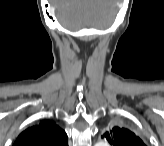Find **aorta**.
Returning <instances> with one entry per match:
<instances>
[{"instance_id":"obj_1","label":"aorta","mask_w":164,"mask_h":146,"mask_svg":"<svg viewBox=\"0 0 164 146\" xmlns=\"http://www.w3.org/2000/svg\"><path fill=\"white\" fill-rule=\"evenodd\" d=\"M99 144H101L102 146H106V143L104 142H100Z\"/></svg>"}]
</instances>
